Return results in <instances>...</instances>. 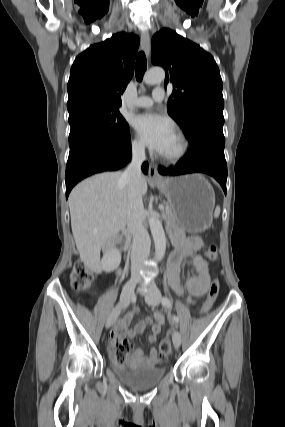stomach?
<instances>
[{"label":"stomach","instance_id":"0dacf381","mask_svg":"<svg viewBox=\"0 0 285 427\" xmlns=\"http://www.w3.org/2000/svg\"><path fill=\"white\" fill-rule=\"evenodd\" d=\"M156 186L175 214L174 223L182 229L197 233L211 225L215 194L201 174L166 178Z\"/></svg>","mask_w":285,"mask_h":427}]
</instances>
